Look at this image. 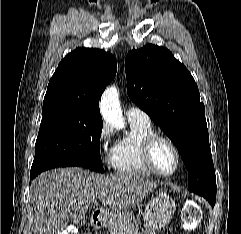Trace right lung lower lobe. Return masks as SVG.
<instances>
[{
	"mask_svg": "<svg viewBox=\"0 0 241 234\" xmlns=\"http://www.w3.org/2000/svg\"><path fill=\"white\" fill-rule=\"evenodd\" d=\"M79 166L76 162L67 159H51L37 168H31L30 179H34L38 174L48 169L57 167Z\"/></svg>",
	"mask_w": 241,
	"mask_h": 234,
	"instance_id": "98d812e1",
	"label": "right lung lower lobe"
}]
</instances>
